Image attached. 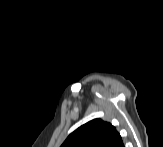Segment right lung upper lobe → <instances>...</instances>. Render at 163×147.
Listing matches in <instances>:
<instances>
[{"label":"right lung upper lobe","instance_id":"right-lung-upper-lobe-1","mask_svg":"<svg viewBox=\"0 0 163 147\" xmlns=\"http://www.w3.org/2000/svg\"><path fill=\"white\" fill-rule=\"evenodd\" d=\"M121 141L113 125L94 119L71 133L61 147H116Z\"/></svg>","mask_w":163,"mask_h":147}]
</instances>
